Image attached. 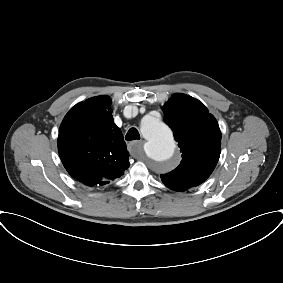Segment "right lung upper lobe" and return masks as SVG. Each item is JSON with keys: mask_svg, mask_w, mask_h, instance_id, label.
Instances as JSON below:
<instances>
[{"mask_svg": "<svg viewBox=\"0 0 283 283\" xmlns=\"http://www.w3.org/2000/svg\"><path fill=\"white\" fill-rule=\"evenodd\" d=\"M110 104L106 96L80 102L66 114L59 129L58 149L65 168L88 186L108 184L130 165Z\"/></svg>", "mask_w": 283, "mask_h": 283, "instance_id": "1", "label": "right lung upper lobe"}]
</instances>
